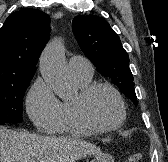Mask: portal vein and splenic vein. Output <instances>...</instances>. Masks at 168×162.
<instances>
[{
  "mask_svg": "<svg viewBox=\"0 0 168 162\" xmlns=\"http://www.w3.org/2000/svg\"><path fill=\"white\" fill-rule=\"evenodd\" d=\"M29 162H36V160L33 159V160H30Z\"/></svg>",
  "mask_w": 168,
  "mask_h": 162,
  "instance_id": "portal-vein-and-splenic-vein-1",
  "label": "portal vein and splenic vein"
}]
</instances>
